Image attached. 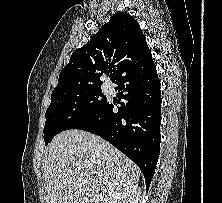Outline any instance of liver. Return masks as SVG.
Instances as JSON below:
<instances>
[{"label": "liver", "instance_id": "obj_1", "mask_svg": "<svg viewBox=\"0 0 222 203\" xmlns=\"http://www.w3.org/2000/svg\"><path fill=\"white\" fill-rule=\"evenodd\" d=\"M42 168L46 203H105L136 184L141 174L109 142L77 129L63 131L50 142Z\"/></svg>", "mask_w": 222, "mask_h": 203}]
</instances>
